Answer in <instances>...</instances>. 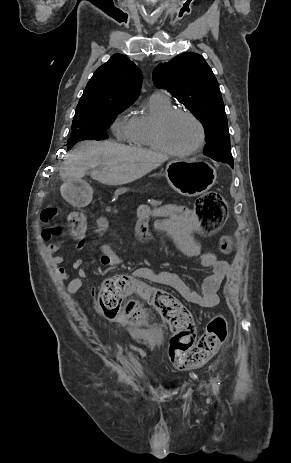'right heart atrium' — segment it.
Listing matches in <instances>:
<instances>
[{
    "instance_id": "1",
    "label": "right heart atrium",
    "mask_w": 291,
    "mask_h": 463,
    "mask_svg": "<svg viewBox=\"0 0 291 463\" xmlns=\"http://www.w3.org/2000/svg\"><path fill=\"white\" fill-rule=\"evenodd\" d=\"M113 132L115 136L121 141H129L131 132H132V122L131 118L127 115L122 114L119 115L113 125H112Z\"/></svg>"
}]
</instances>
